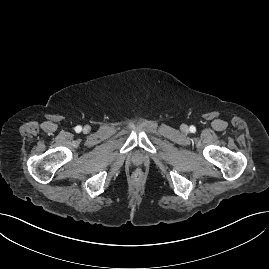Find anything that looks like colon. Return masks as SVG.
<instances>
[{
  "mask_svg": "<svg viewBox=\"0 0 269 269\" xmlns=\"http://www.w3.org/2000/svg\"><path fill=\"white\" fill-rule=\"evenodd\" d=\"M133 176L136 179H140L143 176V171L141 168H136L133 172Z\"/></svg>",
  "mask_w": 269,
  "mask_h": 269,
  "instance_id": "5ec220e1",
  "label": "colon"
}]
</instances>
